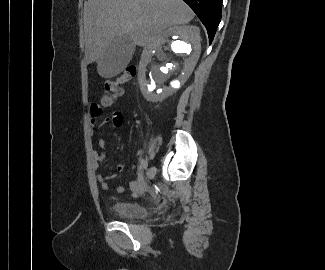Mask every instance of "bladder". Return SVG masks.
<instances>
[{"label":"bladder","mask_w":325,"mask_h":270,"mask_svg":"<svg viewBox=\"0 0 325 270\" xmlns=\"http://www.w3.org/2000/svg\"><path fill=\"white\" fill-rule=\"evenodd\" d=\"M112 211L116 216L124 219L141 218L146 213L144 205L129 201H115Z\"/></svg>","instance_id":"bladder-1"}]
</instances>
